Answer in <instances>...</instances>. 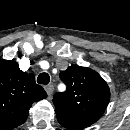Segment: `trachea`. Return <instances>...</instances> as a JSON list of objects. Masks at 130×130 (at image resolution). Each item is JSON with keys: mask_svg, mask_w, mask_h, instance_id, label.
Returning a JSON list of instances; mask_svg holds the SVG:
<instances>
[{"mask_svg": "<svg viewBox=\"0 0 130 130\" xmlns=\"http://www.w3.org/2000/svg\"><path fill=\"white\" fill-rule=\"evenodd\" d=\"M37 82L39 84H44L47 85L50 82V76L47 73H41L38 78H37Z\"/></svg>", "mask_w": 130, "mask_h": 130, "instance_id": "1", "label": "trachea"}]
</instances>
